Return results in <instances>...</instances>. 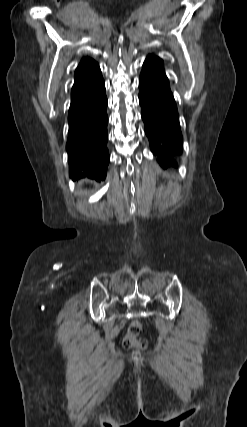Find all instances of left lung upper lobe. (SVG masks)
<instances>
[{"mask_svg": "<svg viewBox=\"0 0 247 427\" xmlns=\"http://www.w3.org/2000/svg\"><path fill=\"white\" fill-rule=\"evenodd\" d=\"M152 56V55H151ZM152 57H154V56H152ZM154 58H156V59H158L160 62H162V60L160 59V58H158V57H154Z\"/></svg>", "mask_w": 247, "mask_h": 427, "instance_id": "1", "label": "left lung upper lobe"}]
</instances>
